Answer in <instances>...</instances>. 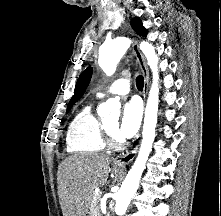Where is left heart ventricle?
<instances>
[{
    "mask_svg": "<svg viewBox=\"0 0 221 216\" xmlns=\"http://www.w3.org/2000/svg\"><path fill=\"white\" fill-rule=\"evenodd\" d=\"M106 125H107L113 132L116 133L117 118H116V117L110 118L108 121H106Z\"/></svg>",
    "mask_w": 221,
    "mask_h": 216,
    "instance_id": "left-heart-ventricle-1",
    "label": "left heart ventricle"
}]
</instances>
